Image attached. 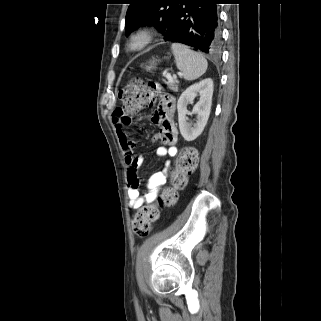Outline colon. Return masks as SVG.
Returning <instances> with one entry per match:
<instances>
[{
  "label": "colon",
  "mask_w": 321,
  "mask_h": 321,
  "mask_svg": "<svg viewBox=\"0 0 321 321\" xmlns=\"http://www.w3.org/2000/svg\"><path fill=\"white\" fill-rule=\"evenodd\" d=\"M145 82L142 79L130 81L119 93L122 101L120 110L127 115L134 114L154 102L153 90H146ZM198 152L192 147L183 148L171 174V187L167 188L156 204L143 207L134 217L132 225L134 232L139 236H146L150 233L154 223L164 207L173 206L178 198V190L184 188L188 177L194 173L198 166Z\"/></svg>",
  "instance_id": "5ec220e1"
}]
</instances>
